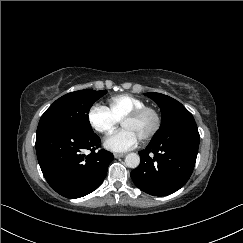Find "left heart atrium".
<instances>
[{
	"label": "left heart atrium",
	"mask_w": 243,
	"mask_h": 243,
	"mask_svg": "<svg viewBox=\"0 0 243 243\" xmlns=\"http://www.w3.org/2000/svg\"><path fill=\"white\" fill-rule=\"evenodd\" d=\"M139 139L128 128H121L109 134L105 141L104 146L113 152H125L133 149Z\"/></svg>",
	"instance_id": "left-heart-atrium-1"
}]
</instances>
